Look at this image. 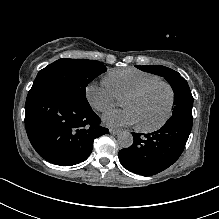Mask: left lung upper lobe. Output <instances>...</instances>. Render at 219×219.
<instances>
[{
	"label": "left lung upper lobe",
	"instance_id": "1",
	"mask_svg": "<svg viewBox=\"0 0 219 219\" xmlns=\"http://www.w3.org/2000/svg\"><path fill=\"white\" fill-rule=\"evenodd\" d=\"M135 67H137L142 71L162 76L171 85L174 91L175 107L172 116L169 120L183 119V120L193 121V117H192L193 96L191 94L188 83L183 77L180 76L178 72L160 65H149V66L135 65Z\"/></svg>",
	"mask_w": 219,
	"mask_h": 219
}]
</instances>
